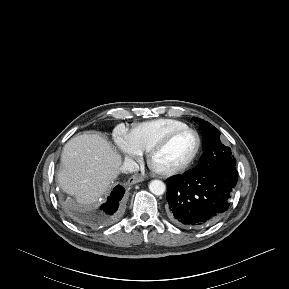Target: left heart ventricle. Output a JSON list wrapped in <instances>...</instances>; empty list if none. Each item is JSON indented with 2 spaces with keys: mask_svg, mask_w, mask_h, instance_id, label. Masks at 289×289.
I'll use <instances>...</instances> for the list:
<instances>
[{
  "mask_svg": "<svg viewBox=\"0 0 289 289\" xmlns=\"http://www.w3.org/2000/svg\"><path fill=\"white\" fill-rule=\"evenodd\" d=\"M196 143L193 133L185 132L177 135L155 155L153 165L157 169L168 170L183 164L193 154Z\"/></svg>",
  "mask_w": 289,
  "mask_h": 289,
  "instance_id": "1",
  "label": "left heart ventricle"
}]
</instances>
